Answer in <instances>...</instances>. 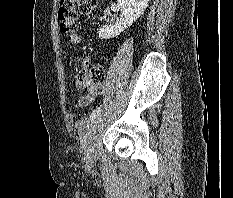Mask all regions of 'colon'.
<instances>
[{
    "label": "colon",
    "mask_w": 233,
    "mask_h": 198,
    "mask_svg": "<svg viewBox=\"0 0 233 198\" xmlns=\"http://www.w3.org/2000/svg\"><path fill=\"white\" fill-rule=\"evenodd\" d=\"M98 0H60L58 19L60 30L67 40L76 44L80 41L78 16L90 14L96 7ZM77 82L89 92L97 90L104 80V70L100 66H94L77 74Z\"/></svg>",
    "instance_id": "5ec220e1"
}]
</instances>
